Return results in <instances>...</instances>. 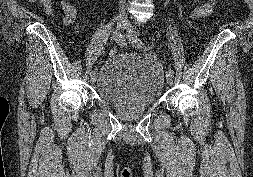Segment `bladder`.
<instances>
[{
  "label": "bladder",
  "mask_w": 253,
  "mask_h": 177,
  "mask_svg": "<svg viewBox=\"0 0 253 177\" xmlns=\"http://www.w3.org/2000/svg\"><path fill=\"white\" fill-rule=\"evenodd\" d=\"M163 89V69L153 55L115 54L102 65L95 81L97 95L111 104L132 100L152 106Z\"/></svg>",
  "instance_id": "31cf9c89"
}]
</instances>
